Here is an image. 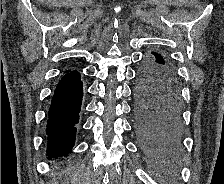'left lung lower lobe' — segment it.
<instances>
[{"label": "left lung lower lobe", "mask_w": 224, "mask_h": 184, "mask_svg": "<svg viewBox=\"0 0 224 184\" xmlns=\"http://www.w3.org/2000/svg\"><path fill=\"white\" fill-rule=\"evenodd\" d=\"M154 52L138 70L135 86V128L140 140L155 150L176 148L182 137L181 94L176 73L164 68Z\"/></svg>", "instance_id": "left-lung-lower-lobe-1"}]
</instances>
